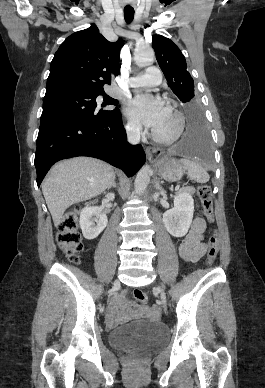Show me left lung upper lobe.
Instances as JSON below:
<instances>
[{
	"instance_id": "1",
	"label": "left lung upper lobe",
	"mask_w": 265,
	"mask_h": 388,
	"mask_svg": "<svg viewBox=\"0 0 265 388\" xmlns=\"http://www.w3.org/2000/svg\"><path fill=\"white\" fill-rule=\"evenodd\" d=\"M152 46L156 53L158 64L174 94L186 103L187 110L199 108V103L194 100V81L187 71L185 57L170 39L154 35Z\"/></svg>"
}]
</instances>
